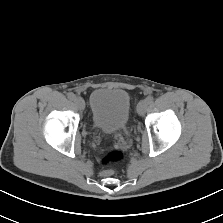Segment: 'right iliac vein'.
I'll list each match as a JSON object with an SVG mask.
<instances>
[{
	"label": "right iliac vein",
	"mask_w": 223,
	"mask_h": 223,
	"mask_svg": "<svg viewBox=\"0 0 223 223\" xmlns=\"http://www.w3.org/2000/svg\"><path fill=\"white\" fill-rule=\"evenodd\" d=\"M74 103L80 110H83L85 107L84 100L81 97H76Z\"/></svg>",
	"instance_id": "63e3f726"
}]
</instances>
